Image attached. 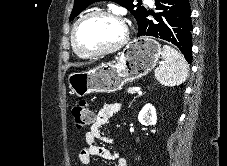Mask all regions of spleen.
<instances>
[{
  "mask_svg": "<svg viewBox=\"0 0 227 166\" xmlns=\"http://www.w3.org/2000/svg\"><path fill=\"white\" fill-rule=\"evenodd\" d=\"M162 63L155 69L156 79L164 86H176L186 81L189 66L184 56L175 48L164 45Z\"/></svg>",
  "mask_w": 227,
  "mask_h": 166,
  "instance_id": "spleen-1",
  "label": "spleen"
}]
</instances>
